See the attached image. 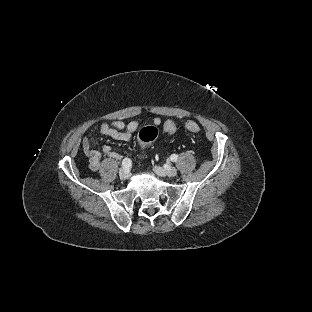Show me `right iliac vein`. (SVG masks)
Segmentation results:
<instances>
[{
    "mask_svg": "<svg viewBox=\"0 0 312 312\" xmlns=\"http://www.w3.org/2000/svg\"><path fill=\"white\" fill-rule=\"evenodd\" d=\"M119 177L122 180H127L129 178V170L127 168H125V167H122L119 170Z\"/></svg>",
    "mask_w": 312,
    "mask_h": 312,
    "instance_id": "obj_1",
    "label": "right iliac vein"
}]
</instances>
